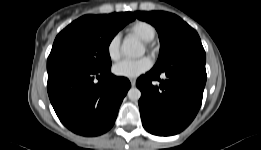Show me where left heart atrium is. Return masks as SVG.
<instances>
[{
	"mask_svg": "<svg viewBox=\"0 0 261 150\" xmlns=\"http://www.w3.org/2000/svg\"><path fill=\"white\" fill-rule=\"evenodd\" d=\"M152 66V61L148 57L136 60H122L114 65L113 72L120 77L135 79L148 71Z\"/></svg>",
	"mask_w": 261,
	"mask_h": 150,
	"instance_id": "left-heart-atrium-1",
	"label": "left heart atrium"
}]
</instances>
